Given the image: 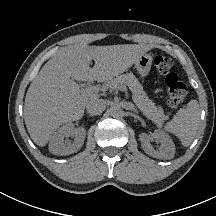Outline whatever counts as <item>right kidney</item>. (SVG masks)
<instances>
[{
    "mask_svg": "<svg viewBox=\"0 0 216 216\" xmlns=\"http://www.w3.org/2000/svg\"><path fill=\"white\" fill-rule=\"evenodd\" d=\"M68 137H73L74 140L64 143V138ZM85 137L86 130L83 127L76 128L72 123L66 124L53 133L49 150L54 155H70L82 147Z\"/></svg>",
    "mask_w": 216,
    "mask_h": 216,
    "instance_id": "right-kidney-1",
    "label": "right kidney"
}]
</instances>
